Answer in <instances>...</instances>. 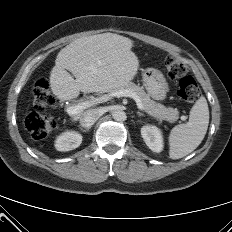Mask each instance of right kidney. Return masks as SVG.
Segmentation results:
<instances>
[{"instance_id":"1","label":"right kidney","mask_w":232,"mask_h":232,"mask_svg":"<svg viewBox=\"0 0 232 232\" xmlns=\"http://www.w3.org/2000/svg\"><path fill=\"white\" fill-rule=\"evenodd\" d=\"M82 143L81 134L75 131H67L62 133L55 142L58 151H70L76 149Z\"/></svg>"}]
</instances>
